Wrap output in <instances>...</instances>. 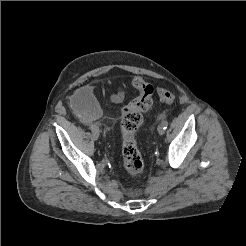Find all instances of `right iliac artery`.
<instances>
[{"label":"right iliac artery","instance_id":"82829eb1","mask_svg":"<svg viewBox=\"0 0 246 246\" xmlns=\"http://www.w3.org/2000/svg\"><path fill=\"white\" fill-rule=\"evenodd\" d=\"M90 129H91V131H93V132L98 131V128H97V126H95V125H91V126H90Z\"/></svg>","mask_w":246,"mask_h":246}]
</instances>
